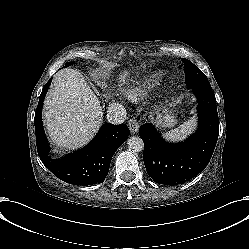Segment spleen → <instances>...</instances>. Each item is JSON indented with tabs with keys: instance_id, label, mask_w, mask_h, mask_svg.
Masks as SVG:
<instances>
[{
	"instance_id": "1",
	"label": "spleen",
	"mask_w": 249,
	"mask_h": 249,
	"mask_svg": "<svg viewBox=\"0 0 249 249\" xmlns=\"http://www.w3.org/2000/svg\"><path fill=\"white\" fill-rule=\"evenodd\" d=\"M196 129V119L195 117L190 118L185 121L176 129L164 133L162 136L165 140L170 142H180L185 140L194 130Z\"/></svg>"
}]
</instances>
